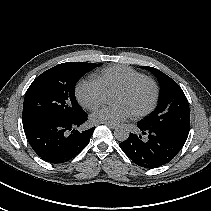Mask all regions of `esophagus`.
Listing matches in <instances>:
<instances>
[{"label":"esophagus","mask_w":211,"mask_h":211,"mask_svg":"<svg viewBox=\"0 0 211 211\" xmlns=\"http://www.w3.org/2000/svg\"><path fill=\"white\" fill-rule=\"evenodd\" d=\"M103 124H105L106 126H108L111 129H115L117 127L116 124H112V123H103Z\"/></svg>","instance_id":"esophagus-1"}]
</instances>
